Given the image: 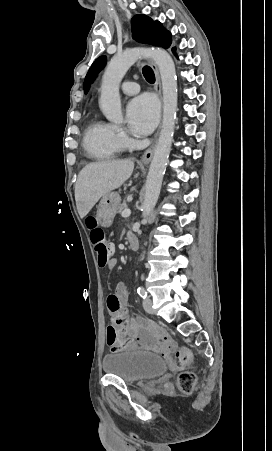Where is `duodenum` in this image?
Here are the masks:
<instances>
[{
	"label": "duodenum",
	"instance_id": "410a0bca",
	"mask_svg": "<svg viewBox=\"0 0 272 451\" xmlns=\"http://www.w3.org/2000/svg\"><path fill=\"white\" fill-rule=\"evenodd\" d=\"M128 242H129L130 249H132V250L138 249L139 243H138V240L134 236H130Z\"/></svg>",
	"mask_w": 272,
	"mask_h": 451
}]
</instances>
